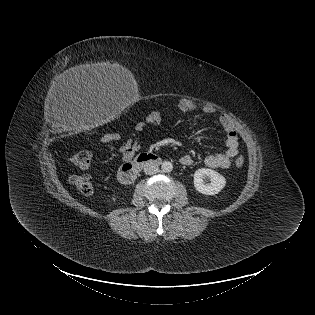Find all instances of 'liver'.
<instances>
[{"label":"liver","mask_w":315,"mask_h":315,"mask_svg":"<svg viewBox=\"0 0 315 315\" xmlns=\"http://www.w3.org/2000/svg\"><path fill=\"white\" fill-rule=\"evenodd\" d=\"M62 81L69 84L133 82L130 70L118 63H94L70 68L61 75Z\"/></svg>","instance_id":"6515ba94"}]
</instances>
